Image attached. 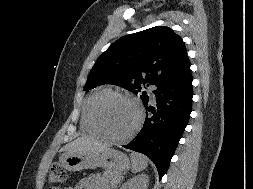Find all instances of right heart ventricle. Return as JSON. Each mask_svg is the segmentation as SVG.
<instances>
[{"label":"right heart ventricle","mask_w":253,"mask_h":189,"mask_svg":"<svg viewBox=\"0 0 253 189\" xmlns=\"http://www.w3.org/2000/svg\"><path fill=\"white\" fill-rule=\"evenodd\" d=\"M109 92L108 89L102 88L94 92L83 104L82 108V126L85 131L94 136H102L101 132L95 125L92 118V106L95 100L102 94Z\"/></svg>","instance_id":"right-heart-ventricle-1"}]
</instances>
